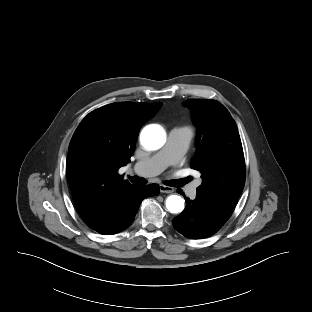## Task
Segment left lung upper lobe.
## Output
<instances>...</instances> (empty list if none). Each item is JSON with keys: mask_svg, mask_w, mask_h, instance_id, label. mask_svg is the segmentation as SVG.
<instances>
[{"mask_svg": "<svg viewBox=\"0 0 312 312\" xmlns=\"http://www.w3.org/2000/svg\"><path fill=\"white\" fill-rule=\"evenodd\" d=\"M184 105L191 109L198 128V145L191 161L203 179L197 195L234 211L245 184V160L236 123L216 100L190 99Z\"/></svg>", "mask_w": 312, "mask_h": 312, "instance_id": "1", "label": "left lung upper lobe"}]
</instances>
